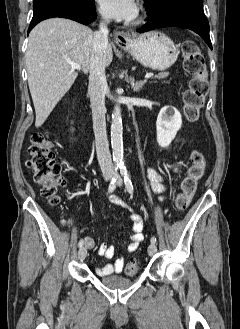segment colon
Segmentation results:
<instances>
[{"mask_svg":"<svg viewBox=\"0 0 240 329\" xmlns=\"http://www.w3.org/2000/svg\"><path fill=\"white\" fill-rule=\"evenodd\" d=\"M183 66L191 75L188 88L183 93L184 115L187 121L197 120L208 93V77L205 58L199 47L192 41L182 46ZM28 166L32 170L34 181L41 186V194L51 205L60 202L59 189L65 184L61 164L55 159L53 146L44 132L32 135L29 148ZM205 157L199 150L190 154V166L181 182L180 191L175 199V208L184 211L190 205L198 181L204 174ZM138 271V263L130 261L126 273L133 275Z\"/></svg>","mask_w":240,"mask_h":329,"instance_id":"1","label":"colon"}]
</instances>
